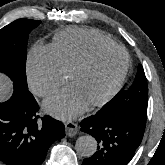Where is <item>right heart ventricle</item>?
<instances>
[{
	"label": "right heart ventricle",
	"instance_id": "obj_1",
	"mask_svg": "<svg viewBox=\"0 0 165 165\" xmlns=\"http://www.w3.org/2000/svg\"><path fill=\"white\" fill-rule=\"evenodd\" d=\"M110 44L115 42L97 30L75 27L57 33L50 47L63 70L69 74L91 49Z\"/></svg>",
	"mask_w": 165,
	"mask_h": 165
}]
</instances>
